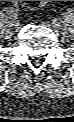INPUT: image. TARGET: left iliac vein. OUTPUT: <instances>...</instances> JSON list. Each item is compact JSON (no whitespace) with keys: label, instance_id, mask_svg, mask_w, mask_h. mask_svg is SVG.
<instances>
[{"label":"left iliac vein","instance_id":"1","mask_svg":"<svg viewBox=\"0 0 74 122\" xmlns=\"http://www.w3.org/2000/svg\"><path fill=\"white\" fill-rule=\"evenodd\" d=\"M44 25L50 27L51 30H52L54 33H56V34H58V33L60 32V28H61V27H59V26H58L57 24H55V23H53V24L44 23Z\"/></svg>","mask_w":74,"mask_h":122}]
</instances>
